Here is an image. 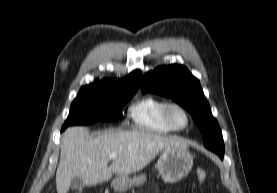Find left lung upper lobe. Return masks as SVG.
Instances as JSON below:
<instances>
[{
    "instance_id": "5c2ea615",
    "label": "left lung upper lobe",
    "mask_w": 277,
    "mask_h": 193,
    "mask_svg": "<svg viewBox=\"0 0 277 193\" xmlns=\"http://www.w3.org/2000/svg\"><path fill=\"white\" fill-rule=\"evenodd\" d=\"M141 90L172 98L187 109L201 129L205 147L223 159L225 149L219 124L198 79L187 68L177 64L158 67L144 75Z\"/></svg>"
}]
</instances>
